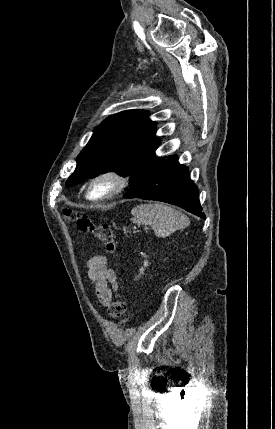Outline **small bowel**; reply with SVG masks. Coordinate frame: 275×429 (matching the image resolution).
Returning a JSON list of instances; mask_svg holds the SVG:
<instances>
[{
	"instance_id": "c3829d8e",
	"label": "small bowel",
	"mask_w": 275,
	"mask_h": 429,
	"mask_svg": "<svg viewBox=\"0 0 275 429\" xmlns=\"http://www.w3.org/2000/svg\"><path fill=\"white\" fill-rule=\"evenodd\" d=\"M88 277L93 284L95 296L99 302L108 306L113 292L117 289L116 275L108 266L105 256L97 255L88 261Z\"/></svg>"
}]
</instances>
